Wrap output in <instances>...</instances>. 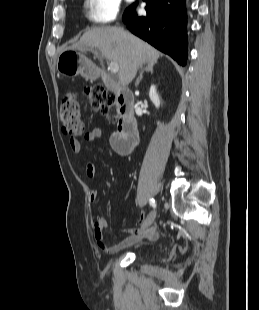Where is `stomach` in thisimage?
<instances>
[{"label": "stomach", "instance_id": "1", "mask_svg": "<svg viewBox=\"0 0 259 310\" xmlns=\"http://www.w3.org/2000/svg\"><path fill=\"white\" fill-rule=\"evenodd\" d=\"M58 72L67 76L82 75L86 78H94L92 63L78 50L71 47L65 48L57 58Z\"/></svg>", "mask_w": 259, "mask_h": 310}]
</instances>
